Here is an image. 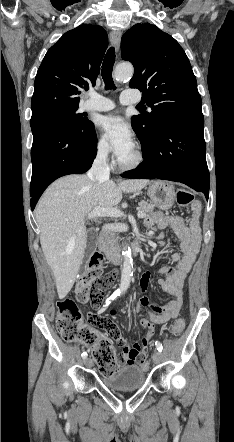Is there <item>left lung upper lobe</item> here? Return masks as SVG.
Segmentation results:
<instances>
[{
    "mask_svg": "<svg viewBox=\"0 0 234 442\" xmlns=\"http://www.w3.org/2000/svg\"><path fill=\"white\" fill-rule=\"evenodd\" d=\"M121 51L122 59L134 66L130 87L142 91L152 110L131 118L145 151L162 125L180 115L202 112L201 97L185 51L155 25H134L123 35Z\"/></svg>",
    "mask_w": 234,
    "mask_h": 442,
    "instance_id": "5c2ea615",
    "label": "left lung upper lobe"
}]
</instances>
